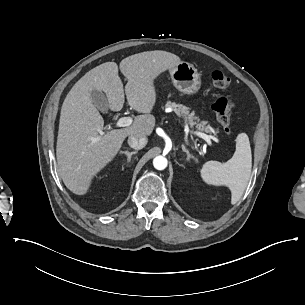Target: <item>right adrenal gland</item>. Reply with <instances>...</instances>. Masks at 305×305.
<instances>
[{"instance_id":"obj_1","label":"right adrenal gland","mask_w":305,"mask_h":305,"mask_svg":"<svg viewBox=\"0 0 305 305\" xmlns=\"http://www.w3.org/2000/svg\"><path fill=\"white\" fill-rule=\"evenodd\" d=\"M137 152L138 151H133V152L123 151L122 153L127 156V162H130L132 155L137 154Z\"/></svg>"}]
</instances>
